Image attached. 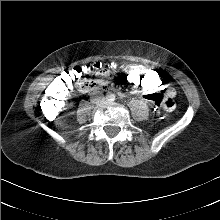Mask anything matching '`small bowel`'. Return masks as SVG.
Returning a JSON list of instances; mask_svg holds the SVG:
<instances>
[{"label":"small bowel","mask_w":220,"mask_h":220,"mask_svg":"<svg viewBox=\"0 0 220 220\" xmlns=\"http://www.w3.org/2000/svg\"><path fill=\"white\" fill-rule=\"evenodd\" d=\"M114 68H115L114 64H110V67H103V65L99 63L95 64L93 69H94L95 75L98 77L96 76L87 77L85 81L86 85L90 87L94 86L95 88H98V89L107 88L109 84L108 80L114 79L117 75V72ZM170 91H172L173 94H175L173 88L171 87H169L168 90L165 92H170ZM152 93H158V92H152ZM152 93L144 92V98L148 100V95Z\"/></svg>","instance_id":"1"}]
</instances>
